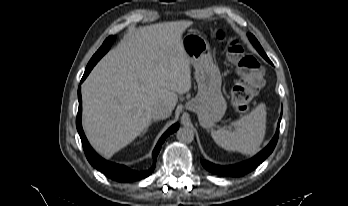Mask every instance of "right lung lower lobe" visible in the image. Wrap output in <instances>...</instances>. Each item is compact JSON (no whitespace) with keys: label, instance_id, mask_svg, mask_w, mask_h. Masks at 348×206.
<instances>
[{"label":"right lung lower lobe","instance_id":"98d812e1","mask_svg":"<svg viewBox=\"0 0 348 206\" xmlns=\"http://www.w3.org/2000/svg\"><path fill=\"white\" fill-rule=\"evenodd\" d=\"M107 51H108L107 49L99 48V50L94 54V56L91 58L90 62L88 63L81 82L84 81V79L88 76V74L90 73L92 68L95 66V64L101 59V57ZM78 99H79V109H78V114H77V119H76V127H77L78 133H79L81 141H82V146H83L85 155H86L88 161L90 162V164L94 168H96L100 172L104 173L107 177H109L113 180H116V181L130 182V181L140 180V179H143V178H146L147 176H149L155 168L157 155H158V153L161 149V146H162L163 142L165 141L166 137L169 136L171 133L175 132L179 128V124L176 123L173 126H171L162 135V137L158 141V143L153 151L154 163H153V166L149 170L143 171V172L134 171V170H131L124 165H119V164L111 163L109 161L104 160L91 148V146L89 145V143L84 135L82 125H81L82 98H81L80 86L78 88Z\"/></svg>","mask_w":348,"mask_h":206}]
</instances>
